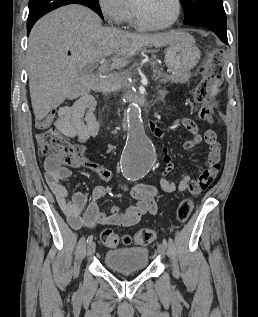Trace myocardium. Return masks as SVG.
<instances>
[{
  "label": "myocardium",
  "instance_id": "myocardium-1",
  "mask_svg": "<svg viewBox=\"0 0 258 317\" xmlns=\"http://www.w3.org/2000/svg\"><path fill=\"white\" fill-rule=\"evenodd\" d=\"M152 1L153 0H139L136 3L135 10H134V18H135V23L138 26V28H140L141 30L147 31V32H156V31L166 30V29L172 27L178 21L180 14H181V2H180V0H172L176 5V15L171 22H169L168 24L162 25V26L147 27L144 25V23L142 21L141 11L147 3L152 2Z\"/></svg>",
  "mask_w": 258,
  "mask_h": 317
}]
</instances>
